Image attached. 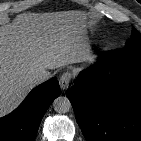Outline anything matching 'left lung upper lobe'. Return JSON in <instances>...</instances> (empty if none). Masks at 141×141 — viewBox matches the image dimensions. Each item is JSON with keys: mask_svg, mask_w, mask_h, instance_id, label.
Returning a JSON list of instances; mask_svg holds the SVG:
<instances>
[{"mask_svg": "<svg viewBox=\"0 0 141 141\" xmlns=\"http://www.w3.org/2000/svg\"><path fill=\"white\" fill-rule=\"evenodd\" d=\"M130 46H141V34L132 28L131 38L126 42V47Z\"/></svg>", "mask_w": 141, "mask_h": 141, "instance_id": "left-lung-upper-lobe-1", "label": "left lung upper lobe"}]
</instances>
